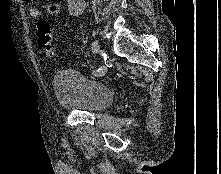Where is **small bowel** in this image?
Here are the masks:
<instances>
[{
    "label": "small bowel",
    "instance_id": "c3829d8e",
    "mask_svg": "<svg viewBox=\"0 0 221 174\" xmlns=\"http://www.w3.org/2000/svg\"><path fill=\"white\" fill-rule=\"evenodd\" d=\"M28 3H31L33 0H26ZM47 13L51 16L58 15L61 11V6L59 3H50L47 6ZM29 14L32 18L39 19L41 16V11L38 7L30 5Z\"/></svg>",
    "mask_w": 221,
    "mask_h": 174
}]
</instances>
